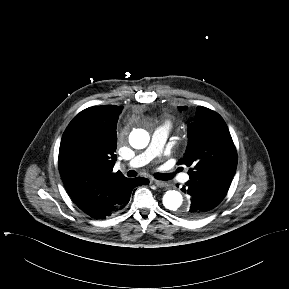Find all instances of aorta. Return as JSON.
Here are the masks:
<instances>
[{"label": "aorta", "instance_id": "762f6f07", "mask_svg": "<svg viewBox=\"0 0 289 289\" xmlns=\"http://www.w3.org/2000/svg\"><path fill=\"white\" fill-rule=\"evenodd\" d=\"M149 134L143 129H138L129 138L130 145L135 149H143L149 143ZM163 205L166 209L171 211H178L183 208L187 210L188 206L184 205L183 197L180 192L176 190H169L163 196Z\"/></svg>", "mask_w": 289, "mask_h": 289}]
</instances>
